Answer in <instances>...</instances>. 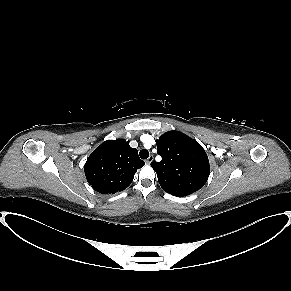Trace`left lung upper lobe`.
I'll use <instances>...</instances> for the list:
<instances>
[{
    "label": "left lung upper lobe",
    "mask_w": 291,
    "mask_h": 291,
    "mask_svg": "<svg viewBox=\"0 0 291 291\" xmlns=\"http://www.w3.org/2000/svg\"><path fill=\"white\" fill-rule=\"evenodd\" d=\"M160 162L152 168L164 191L177 197L187 196L202 188L209 177V160L201 145L178 131L164 133L157 140Z\"/></svg>",
    "instance_id": "5c2ea615"
}]
</instances>
